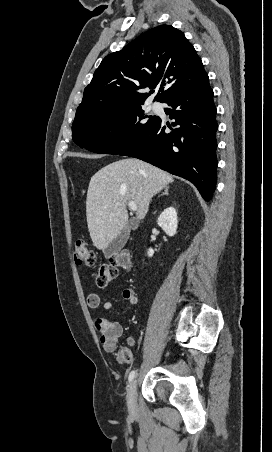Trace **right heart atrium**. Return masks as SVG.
<instances>
[{
    "mask_svg": "<svg viewBox=\"0 0 272 452\" xmlns=\"http://www.w3.org/2000/svg\"><path fill=\"white\" fill-rule=\"evenodd\" d=\"M125 125H126V120H125L124 118H120V119H118L117 122H116V127H117L118 129L123 128Z\"/></svg>",
    "mask_w": 272,
    "mask_h": 452,
    "instance_id": "obj_1",
    "label": "right heart atrium"
}]
</instances>
